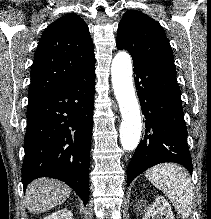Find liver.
I'll list each match as a JSON object with an SVG mask.
<instances>
[{
  "label": "liver",
  "instance_id": "6515ba94",
  "mask_svg": "<svg viewBox=\"0 0 211 219\" xmlns=\"http://www.w3.org/2000/svg\"><path fill=\"white\" fill-rule=\"evenodd\" d=\"M71 188L65 183L49 178L34 180L26 188L25 202L29 212H46L64 203Z\"/></svg>",
  "mask_w": 211,
  "mask_h": 219
}]
</instances>
